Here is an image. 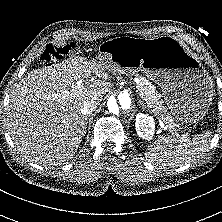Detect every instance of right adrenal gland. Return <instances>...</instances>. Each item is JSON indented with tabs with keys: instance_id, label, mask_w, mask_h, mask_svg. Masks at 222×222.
Returning <instances> with one entry per match:
<instances>
[{
	"instance_id": "1",
	"label": "right adrenal gland",
	"mask_w": 222,
	"mask_h": 222,
	"mask_svg": "<svg viewBox=\"0 0 222 222\" xmlns=\"http://www.w3.org/2000/svg\"><path fill=\"white\" fill-rule=\"evenodd\" d=\"M87 119H88V118L85 117V118H84V123H83V125H84V129H85V130H86V126H87Z\"/></svg>"
}]
</instances>
